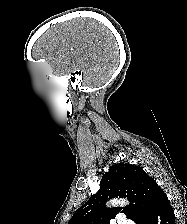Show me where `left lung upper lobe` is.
<instances>
[{"label": "left lung upper lobe", "mask_w": 187, "mask_h": 224, "mask_svg": "<svg viewBox=\"0 0 187 224\" xmlns=\"http://www.w3.org/2000/svg\"><path fill=\"white\" fill-rule=\"evenodd\" d=\"M160 189L142 168L125 163L113 165L103 175L98 193L76 210L68 224H109L120 213L138 224L150 211ZM118 196L127 197L131 204L105 207L107 199Z\"/></svg>", "instance_id": "1"}]
</instances>
